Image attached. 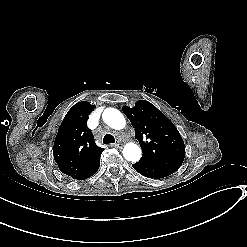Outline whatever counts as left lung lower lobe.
Returning a JSON list of instances; mask_svg holds the SVG:
<instances>
[{"label":"left lung lower lobe","mask_w":247,"mask_h":247,"mask_svg":"<svg viewBox=\"0 0 247 247\" xmlns=\"http://www.w3.org/2000/svg\"><path fill=\"white\" fill-rule=\"evenodd\" d=\"M132 166L141 175L154 179L169 176L176 171L173 168L149 159H140V161L132 164Z\"/></svg>","instance_id":"0a47b994"}]
</instances>
